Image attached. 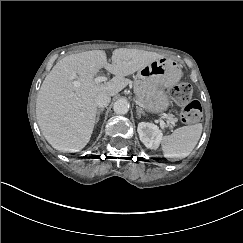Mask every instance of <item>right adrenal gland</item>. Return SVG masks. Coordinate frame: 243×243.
Masks as SVG:
<instances>
[{"instance_id": "right-adrenal-gland-1", "label": "right adrenal gland", "mask_w": 243, "mask_h": 243, "mask_svg": "<svg viewBox=\"0 0 243 243\" xmlns=\"http://www.w3.org/2000/svg\"><path fill=\"white\" fill-rule=\"evenodd\" d=\"M104 111V108H101L97 111V117L95 120V123H98L99 119H100V114Z\"/></svg>"}]
</instances>
